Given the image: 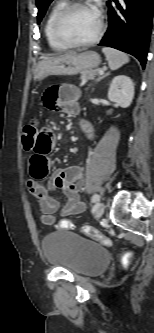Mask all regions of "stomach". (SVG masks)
Segmentation results:
<instances>
[{"label": "stomach", "instance_id": "stomach-1", "mask_svg": "<svg viewBox=\"0 0 154 333\" xmlns=\"http://www.w3.org/2000/svg\"><path fill=\"white\" fill-rule=\"evenodd\" d=\"M101 63V57L94 51L69 53L40 61L33 69L34 80H42L50 75H76L92 70Z\"/></svg>", "mask_w": 154, "mask_h": 333}]
</instances>
